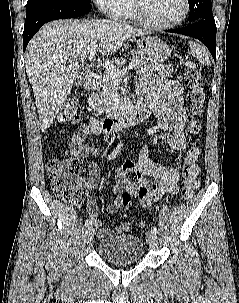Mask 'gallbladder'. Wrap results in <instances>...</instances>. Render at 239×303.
Masks as SVG:
<instances>
[{"label":"gallbladder","mask_w":239,"mask_h":303,"mask_svg":"<svg viewBox=\"0 0 239 303\" xmlns=\"http://www.w3.org/2000/svg\"><path fill=\"white\" fill-rule=\"evenodd\" d=\"M83 80H84V75H82L81 73H79V74L77 75L76 79H75L74 84H75L76 86H80L81 83L83 82Z\"/></svg>","instance_id":"obj_1"}]
</instances>
